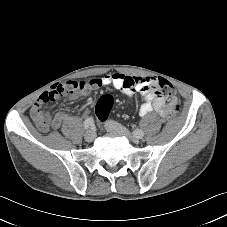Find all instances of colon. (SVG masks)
<instances>
[{
	"mask_svg": "<svg viewBox=\"0 0 227 227\" xmlns=\"http://www.w3.org/2000/svg\"><path fill=\"white\" fill-rule=\"evenodd\" d=\"M160 91L165 95L174 93V88L170 82L165 79H160L158 82ZM113 106V98L109 94L102 95L96 103V115L100 121H104Z\"/></svg>",
	"mask_w": 227,
	"mask_h": 227,
	"instance_id": "1",
	"label": "colon"
}]
</instances>
